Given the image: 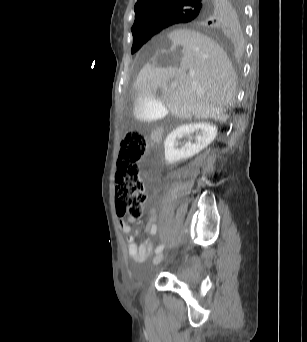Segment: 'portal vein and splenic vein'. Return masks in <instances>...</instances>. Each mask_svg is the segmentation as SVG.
Segmentation results:
<instances>
[{"label":"portal vein and splenic vein","instance_id":"1","mask_svg":"<svg viewBox=\"0 0 307 342\" xmlns=\"http://www.w3.org/2000/svg\"><path fill=\"white\" fill-rule=\"evenodd\" d=\"M176 86H177V82H171L170 88H173V90H174V88H176Z\"/></svg>","mask_w":307,"mask_h":342}]
</instances>
